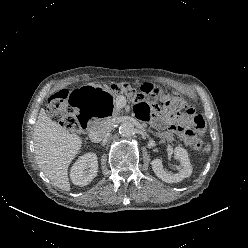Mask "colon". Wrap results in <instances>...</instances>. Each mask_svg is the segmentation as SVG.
<instances>
[{
    "mask_svg": "<svg viewBox=\"0 0 248 248\" xmlns=\"http://www.w3.org/2000/svg\"><path fill=\"white\" fill-rule=\"evenodd\" d=\"M118 93H127L138 103H149L158 100L162 106L172 113L183 112L189 116V127L194 131H202L205 128V120L202 115L195 114L194 109L188 106L184 100L176 93H170L162 89L144 84L136 89L127 83H117L112 87ZM70 93L67 90H60L52 94L49 98L48 111L64 128L77 134L82 126V119L86 112L74 110L70 104ZM193 148L200 150L203 142L195 139Z\"/></svg>",
    "mask_w": 248,
    "mask_h": 248,
    "instance_id": "obj_1",
    "label": "colon"
}]
</instances>
